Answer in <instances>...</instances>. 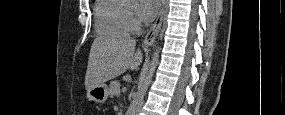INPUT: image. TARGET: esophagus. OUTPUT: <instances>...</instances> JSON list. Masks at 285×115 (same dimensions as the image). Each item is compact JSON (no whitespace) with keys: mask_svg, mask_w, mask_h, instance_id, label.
I'll use <instances>...</instances> for the list:
<instances>
[{"mask_svg":"<svg viewBox=\"0 0 285 115\" xmlns=\"http://www.w3.org/2000/svg\"><path fill=\"white\" fill-rule=\"evenodd\" d=\"M166 4H167V0L161 1V6H160L158 16H157L154 24L151 26L149 32L147 33V35L145 36V38L142 42L143 47H145V48L149 47L153 43L156 36L158 35V33L161 29V26H162Z\"/></svg>","mask_w":285,"mask_h":115,"instance_id":"34e87169","label":"esophagus"}]
</instances>
